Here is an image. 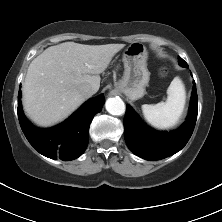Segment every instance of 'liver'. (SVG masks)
I'll list each match as a JSON object with an SVG mask.
<instances>
[{"label":"liver","mask_w":222,"mask_h":222,"mask_svg":"<svg viewBox=\"0 0 222 222\" xmlns=\"http://www.w3.org/2000/svg\"><path fill=\"white\" fill-rule=\"evenodd\" d=\"M125 44L64 42L45 49L29 65L22 87L23 107L38 126L67 118L84 100L82 85L100 87V75Z\"/></svg>","instance_id":"6515ba94"}]
</instances>
